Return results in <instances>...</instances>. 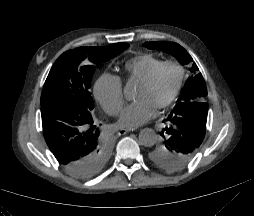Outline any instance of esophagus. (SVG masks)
Listing matches in <instances>:
<instances>
[{"mask_svg": "<svg viewBox=\"0 0 254 216\" xmlns=\"http://www.w3.org/2000/svg\"><path fill=\"white\" fill-rule=\"evenodd\" d=\"M135 129H120L119 131H118V135H125V134H127V133H129V132H131V131H134Z\"/></svg>", "mask_w": 254, "mask_h": 216, "instance_id": "obj_1", "label": "esophagus"}]
</instances>
